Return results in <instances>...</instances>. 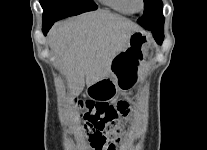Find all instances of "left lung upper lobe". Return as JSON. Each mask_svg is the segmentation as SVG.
<instances>
[{
    "label": "left lung upper lobe",
    "mask_w": 207,
    "mask_h": 150,
    "mask_svg": "<svg viewBox=\"0 0 207 150\" xmlns=\"http://www.w3.org/2000/svg\"><path fill=\"white\" fill-rule=\"evenodd\" d=\"M144 14L138 19V23L151 32L163 31L164 16L161 0H144Z\"/></svg>",
    "instance_id": "1"
}]
</instances>
